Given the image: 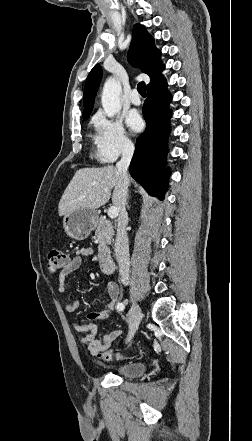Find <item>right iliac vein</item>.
Returning a JSON list of instances; mask_svg holds the SVG:
<instances>
[{
  "instance_id": "right-iliac-vein-1",
  "label": "right iliac vein",
  "mask_w": 252,
  "mask_h": 441,
  "mask_svg": "<svg viewBox=\"0 0 252 441\" xmlns=\"http://www.w3.org/2000/svg\"><path fill=\"white\" fill-rule=\"evenodd\" d=\"M141 318H142L141 309L137 304H134L130 310V325H129L128 340H130L134 336L141 322Z\"/></svg>"
}]
</instances>
